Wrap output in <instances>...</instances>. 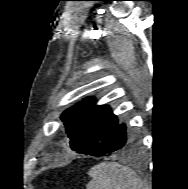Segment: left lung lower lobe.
<instances>
[{
	"label": "left lung lower lobe",
	"instance_id": "obj_1",
	"mask_svg": "<svg viewBox=\"0 0 188 189\" xmlns=\"http://www.w3.org/2000/svg\"><path fill=\"white\" fill-rule=\"evenodd\" d=\"M128 145H130V143H127L125 124H119L99 145L86 155L103 156L127 147Z\"/></svg>",
	"mask_w": 188,
	"mask_h": 189
}]
</instances>
